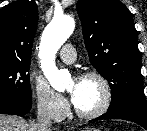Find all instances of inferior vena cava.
Segmentation results:
<instances>
[{"mask_svg": "<svg viewBox=\"0 0 147 131\" xmlns=\"http://www.w3.org/2000/svg\"><path fill=\"white\" fill-rule=\"evenodd\" d=\"M52 106L47 103L38 105L37 125L40 131H47L52 125Z\"/></svg>", "mask_w": 147, "mask_h": 131, "instance_id": "inferior-vena-cava-1", "label": "inferior vena cava"}]
</instances>
